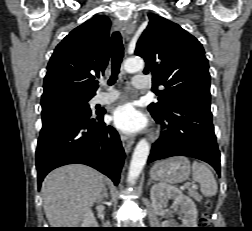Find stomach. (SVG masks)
I'll return each mask as SVG.
<instances>
[{
    "label": "stomach",
    "mask_w": 252,
    "mask_h": 231,
    "mask_svg": "<svg viewBox=\"0 0 252 231\" xmlns=\"http://www.w3.org/2000/svg\"><path fill=\"white\" fill-rule=\"evenodd\" d=\"M190 173V162L184 156L157 162L150 170V176L153 180L170 184H177L187 180Z\"/></svg>",
    "instance_id": "stomach-1"
}]
</instances>
